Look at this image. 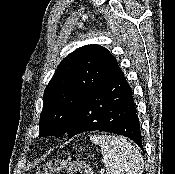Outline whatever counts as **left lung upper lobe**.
Wrapping results in <instances>:
<instances>
[{"mask_svg":"<svg viewBox=\"0 0 175 174\" xmlns=\"http://www.w3.org/2000/svg\"><path fill=\"white\" fill-rule=\"evenodd\" d=\"M117 67L116 58L99 45L82 46L69 54L45 89L39 135L65 134L82 97Z\"/></svg>","mask_w":175,"mask_h":174,"instance_id":"obj_1","label":"left lung upper lobe"}]
</instances>
